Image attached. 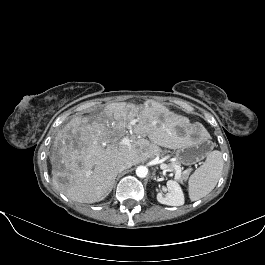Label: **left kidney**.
I'll list each match as a JSON object with an SVG mask.
<instances>
[{
	"instance_id": "1",
	"label": "left kidney",
	"mask_w": 265,
	"mask_h": 265,
	"mask_svg": "<svg viewBox=\"0 0 265 265\" xmlns=\"http://www.w3.org/2000/svg\"><path fill=\"white\" fill-rule=\"evenodd\" d=\"M167 189L168 193L165 196L162 193L157 194L158 202L168 206H181L184 204L183 191L176 181H167Z\"/></svg>"
}]
</instances>
